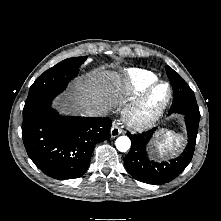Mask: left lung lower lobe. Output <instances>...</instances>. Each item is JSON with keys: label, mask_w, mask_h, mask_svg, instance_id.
<instances>
[{"label": "left lung lower lobe", "mask_w": 221, "mask_h": 221, "mask_svg": "<svg viewBox=\"0 0 221 221\" xmlns=\"http://www.w3.org/2000/svg\"><path fill=\"white\" fill-rule=\"evenodd\" d=\"M173 103L169 113L185 115L188 143L184 152L169 162H153L147 158L146 146L155 132V128L142 134L127 133L132 147L124 158L128 172L138 181L148 184H164L177 177L190 163L196 144L200 121L199 108L194 92L185 81L172 83Z\"/></svg>", "instance_id": "0a47b994"}]
</instances>
